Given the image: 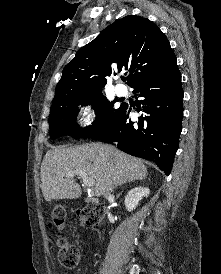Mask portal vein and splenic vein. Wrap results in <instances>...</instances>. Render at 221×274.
I'll return each mask as SVG.
<instances>
[{
  "instance_id": "1",
  "label": "portal vein and splenic vein",
  "mask_w": 221,
  "mask_h": 274,
  "mask_svg": "<svg viewBox=\"0 0 221 274\" xmlns=\"http://www.w3.org/2000/svg\"><path fill=\"white\" fill-rule=\"evenodd\" d=\"M74 175H78L82 179L84 185L87 187H92L95 185L94 179L91 177H88V175L82 171L69 172L66 174V177H74Z\"/></svg>"
}]
</instances>
